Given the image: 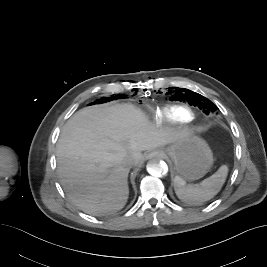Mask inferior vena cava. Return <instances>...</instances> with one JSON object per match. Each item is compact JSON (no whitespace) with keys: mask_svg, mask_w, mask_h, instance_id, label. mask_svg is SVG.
<instances>
[{"mask_svg":"<svg viewBox=\"0 0 267 267\" xmlns=\"http://www.w3.org/2000/svg\"><path fill=\"white\" fill-rule=\"evenodd\" d=\"M134 160L130 157H127L125 160H124V164L125 166H127L128 168H131L133 165H134Z\"/></svg>","mask_w":267,"mask_h":267,"instance_id":"inferior-vena-cava-1","label":"inferior vena cava"}]
</instances>
